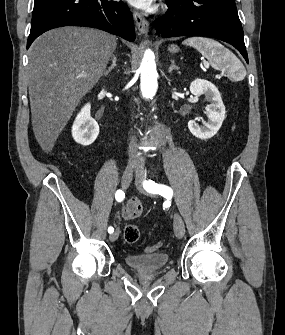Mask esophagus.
<instances>
[{"instance_id": "34e87169", "label": "esophagus", "mask_w": 285, "mask_h": 335, "mask_svg": "<svg viewBox=\"0 0 285 335\" xmlns=\"http://www.w3.org/2000/svg\"><path fill=\"white\" fill-rule=\"evenodd\" d=\"M133 17L139 32L147 33L149 30V22L144 17H142L139 12H134Z\"/></svg>"}]
</instances>
